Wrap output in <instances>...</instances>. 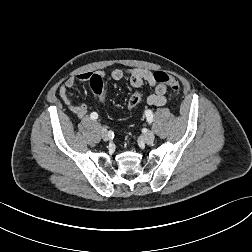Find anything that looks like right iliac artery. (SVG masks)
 I'll list each match as a JSON object with an SVG mask.
<instances>
[{
    "label": "right iliac artery",
    "mask_w": 252,
    "mask_h": 252,
    "mask_svg": "<svg viewBox=\"0 0 252 252\" xmlns=\"http://www.w3.org/2000/svg\"><path fill=\"white\" fill-rule=\"evenodd\" d=\"M92 120H96L98 118V114L96 112L91 113L90 115Z\"/></svg>",
    "instance_id": "1"
}]
</instances>
